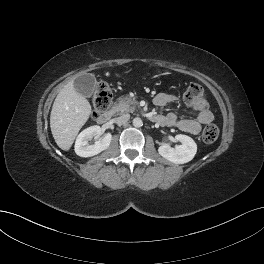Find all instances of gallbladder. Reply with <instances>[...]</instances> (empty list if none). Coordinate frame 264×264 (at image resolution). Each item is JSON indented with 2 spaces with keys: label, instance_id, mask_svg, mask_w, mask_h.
<instances>
[{
  "label": "gallbladder",
  "instance_id": "1",
  "mask_svg": "<svg viewBox=\"0 0 264 264\" xmlns=\"http://www.w3.org/2000/svg\"><path fill=\"white\" fill-rule=\"evenodd\" d=\"M96 84V79L93 74L87 73L77 77L74 80L75 90L84 97H91Z\"/></svg>",
  "mask_w": 264,
  "mask_h": 264
}]
</instances>
